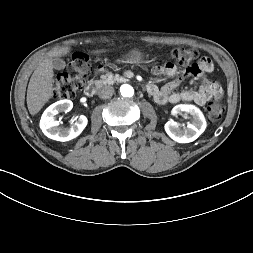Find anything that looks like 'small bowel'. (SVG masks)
Returning <instances> with one entry per match:
<instances>
[{
  "label": "small bowel",
  "instance_id": "obj_1",
  "mask_svg": "<svg viewBox=\"0 0 253 253\" xmlns=\"http://www.w3.org/2000/svg\"><path fill=\"white\" fill-rule=\"evenodd\" d=\"M211 70L212 65L207 57L197 58L182 68L184 73L181 79L186 81L188 78L197 79L202 76L201 87L198 90L177 91L176 88L181 83L178 78L162 87H158L151 82L148 84L147 90L159 104L194 102L198 105H204L211 98H220L222 96L220 85L206 77ZM177 73L176 65L172 61L167 62L164 66H156L152 69V74L155 76L174 77Z\"/></svg>",
  "mask_w": 253,
  "mask_h": 253
}]
</instances>
